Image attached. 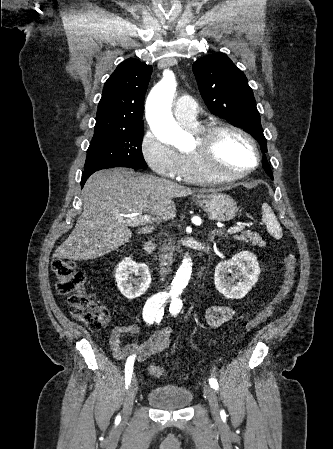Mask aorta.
<instances>
[{
    "mask_svg": "<svg viewBox=\"0 0 333 449\" xmlns=\"http://www.w3.org/2000/svg\"><path fill=\"white\" fill-rule=\"evenodd\" d=\"M174 74L164 72L163 79L151 90L146 102V119L154 133L161 141L169 142L178 148L189 145V135L172 116V101L176 91ZM192 272V260L185 256L172 282V294H181Z\"/></svg>",
    "mask_w": 333,
    "mask_h": 449,
    "instance_id": "obj_1",
    "label": "aorta"
}]
</instances>
